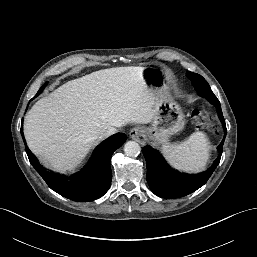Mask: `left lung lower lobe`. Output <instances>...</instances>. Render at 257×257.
Masks as SVG:
<instances>
[{
	"label": "left lung lower lobe",
	"instance_id": "left-lung-lower-lobe-1",
	"mask_svg": "<svg viewBox=\"0 0 257 257\" xmlns=\"http://www.w3.org/2000/svg\"><path fill=\"white\" fill-rule=\"evenodd\" d=\"M217 107L225 126L221 106ZM225 136L217 148L219 155L214 164L208 171L198 174L181 173L172 169L157 150L145 146L142 152L147 163V182L151 191L161 198L172 199L186 196L199 189L207 182L220 162Z\"/></svg>",
	"mask_w": 257,
	"mask_h": 257
}]
</instances>
